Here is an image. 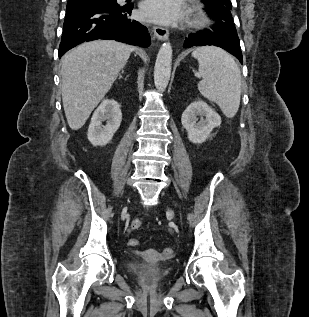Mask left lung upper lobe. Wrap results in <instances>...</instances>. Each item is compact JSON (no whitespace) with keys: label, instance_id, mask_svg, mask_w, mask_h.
I'll use <instances>...</instances> for the list:
<instances>
[{"label":"left lung upper lobe","instance_id":"obj_1","mask_svg":"<svg viewBox=\"0 0 309 317\" xmlns=\"http://www.w3.org/2000/svg\"><path fill=\"white\" fill-rule=\"evenodd\" d=\"M203 2L207 6L206 12L215 17L217 21L216 30L237 33L231 15L232 4L230 0H203Z\"/></svg>","mask_w":309,"mask_h":317}]
</instances>
